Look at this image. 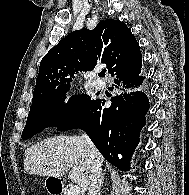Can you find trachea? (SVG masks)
Listing matches in <instances>:
<instances>
[{
	"instance_id": "1",
	"label": "trachea",
	"mask_w": 189,
	"mask_h": 195,
	"mask_svg": "<svg viewBox=\"0 0 189 195\" xmlns=\"http://www.w3.org/2000/svg\"><path fill=\"white\" fill-rule=\"evenodd\" d=\"M105 73H106V70H102L101 73H99V76L100 77H104L105 76Z\"/></svg>"
}]
</instances>
